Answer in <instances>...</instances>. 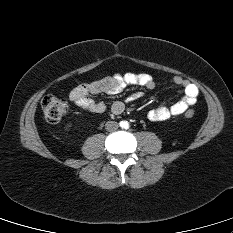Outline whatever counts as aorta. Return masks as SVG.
<instances>
[{
    "mask_svg": "<svg viewBox=\"0 0 233 233\" xmlns=\"http://www.w3.org/2000/svg\"><path fill=\"white\" fill-rule=\"evenodd\" d=\"M122 127L127 128L128 124L126 122L122 123Z\"/></svg>",
    "mask_w": 233,
    "mask_h": 233,
    "instance_id": "obj_1",
    "label": "aorta"
}]
</instances>
